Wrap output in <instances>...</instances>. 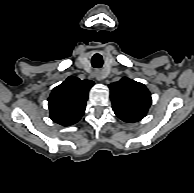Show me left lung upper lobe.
I'll list each match as a JSON object with an SVG mask.
<instances>
[{"instance_id":"5c2ea615","label":"left lung upper lobe","mask_w":194,"mask_h":193,"mask_svg":"<svg viewBox=\"0 0 194 193\" xmlns=\"http://www.w3.org/2000/svg\"><path fill=\"white\" fill-rule=\"evenodd\" d=\"M109 88L113 110L121 120L137 122L146 116L152 100L145 85L124 77Z\"/></svg>"}]
</instances>
